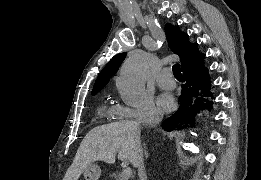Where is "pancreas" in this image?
Listing matches in <instances>:
<instances>
[{
	"mask_svg": "<svg viewBox=\"0 0 261 180\" xmlns=\"http://www.w3.org/2000/svg\"><path fill=\"white\" fill-rule=\"evenodd\" d=\"M108 175L111 176V178H114V180H120V171H119V169H114V171H109Z\"/></svg>",
	"mask_w": 261,
	"mask_h": 180,
	"instance_id": "obj_1",
	"label": "pancreas"
}]
</instances>
